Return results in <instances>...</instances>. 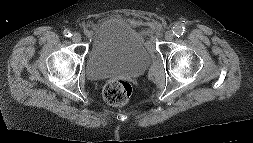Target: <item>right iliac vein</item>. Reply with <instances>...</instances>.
<instances>
[{
	"mask_svg": "<svg viewBox=\"0 0 253 143\" xmlns=\"http://www.w3.org/2000/svg\"><path fill=\"white\" fill-rule=\"evenodd\" d=\"M82 39V36L80 33H74L72 35V41L75 42V43H79Z\"/></svg>",
	"mask_w": 253,
	"mask_h": 143,
	"instance_id": "obj_1",
	"label": "right iliac vein"
}]
</instances>
